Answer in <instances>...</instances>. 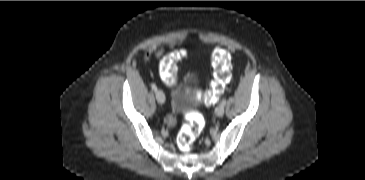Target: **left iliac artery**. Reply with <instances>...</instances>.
Returning a JSON list of instances; mask_svg holds the SVG:
<instances>
[{
  "label": "left iliac artery",
  "instance_id": "left-iliac-artery-1",
  "mask_svg": "<svg viewBox=\"0 0 365 180\" xmlns=\"http://www.w3.org/2000/svg\"><path fill=\"white\" fill-rule=\"evenodd\" d=\"M221 104L225 106V104H226V98H223L222 99Z\"/></svg>",
  "mask_w": 365,
  "mask_h": 180
}]
</instances>
